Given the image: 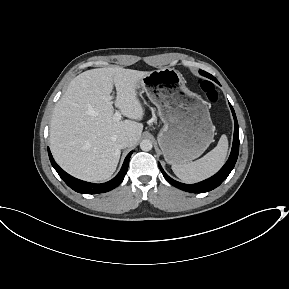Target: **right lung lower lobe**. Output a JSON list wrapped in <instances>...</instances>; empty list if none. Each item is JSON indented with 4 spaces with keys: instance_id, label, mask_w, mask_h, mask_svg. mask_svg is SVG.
<instances>
[{
    "instance_id": "98d812e1",
    "label": "right lung lower lobe",
    "mask_w": 289,
    "mask_h": 289,
    "mask_svg": "<svg viewBox=\"0 0 289 289\" xmlns=\"http://www.w3.org/2000/svg\"><path fill=\"white\" fill-rule=\"evenodd\" d=\"M48 154L49 158L51 161L52 166L55 168L59 176L63 179V181L74 191L79 192V193H84V194H97V193H104L107 191H110L117 187L119 184L124 179L125 174L127 173L128 170V164H129V159L131 157L132 152H130L123 163V166L120 170V172L110 181L102 184H94V183H89L85 182L79 179H76L63 171L54 161L52 154L48 148Z\"/></svg>"
}]
</instances>
